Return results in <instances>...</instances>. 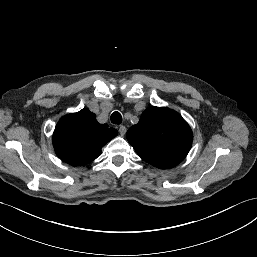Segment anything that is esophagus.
Here are the masks:
<instances>
[{"label": "esophagus", "instance_id": "esophagus-1", "mask_svg": "<svg viewBox=\"0 0 257 257\" xmlns=\"http://www.w3.org/2000/svg\"><path fill=\"white\" fill-rule=\"evenodd\" d=\"M119 133L121 136H124L126 133V127L124 125L119 126Z\"/></svg>", "mask_w": 257, "mask_h": 257}]
</instances>
